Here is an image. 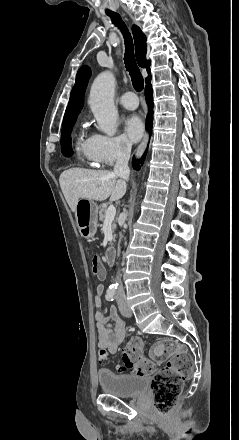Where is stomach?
<instances>
[{
  "mask_svg": "<svg viewBox=\"0 0 239 440\" xmlns=\"http://www.w3.org/2000/svg\"><path fill=\"white\" fill-rule=\"evenodd\" d=\"M76 224L82 238L90 240L97 232L98 206L93 200L81 198L75 212Z\"/></svg>",
  "mask_w": 239,
  "mask_h": 440,
  "instance_id": "0dacf381",
  "label": "stomach"
}]
</instances>
